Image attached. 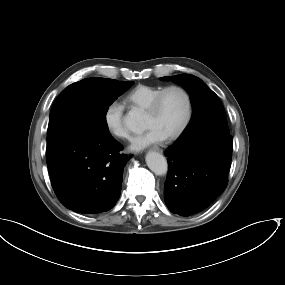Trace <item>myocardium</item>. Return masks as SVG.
<instances>
[{
  "label": "myocardium",
  "mask_w": 285,
  "mask_h": 285,
  "mask_svg": "<svg viewBox=\"0 0 285 285\" xmlns=\"http://www.w3.org/2000/svg\"><path fill=\"white\" fill-rule=\"evenodd\" d=\"M170 90L180 91L184 95L185 101H186V112H185V116H184V119H183L181 125L178 127V129L174 133L165 137V139H167V140H174V139L179 138L184 133V131L186 130V128L190 122V119H191L192 99H191V96H190V93L188 92V90L186 88H184L183 86H180V85H169V86L164 87L163 89H161L157 93V95L150 102V104L146 108V112H148V113L157 112V110L160 107V104H161V101H162L164 95Z\"/></svg>",
  "instance_id": "1"
}]
</instances>
